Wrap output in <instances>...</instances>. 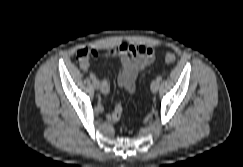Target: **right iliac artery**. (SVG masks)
Masks as SVG:
<instances>
[{
  "label": "right iliac artery",
  "mask_w": 243,
  "mask_h": 167,
  "mask_svg": "<svg viewBox=\"0 0 243 167\" xmlns=\"http://www.w3.org/2000/svg\"><path fill=\"white\" fill-rule=\"evenodd\" d=\"M90 78H91L92 80H95V79H96V77H95V75H94L93 73H90Z\"/></svg>",
  "instance_id": "right-iliac-artery-1"
}]
</instances>
